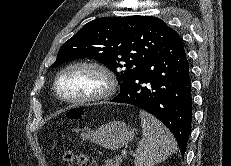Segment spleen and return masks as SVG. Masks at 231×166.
Masks as SVG:
<instances>
[{
    "label": "spleen",
    "mask_w": 231,
    "mask_h": 166,
    "mask_svg": "<svg viewBox=\"0 0 231 166\" xmlns=\"http://www.w3.org/2000/svg\"><path fill=\"white\" fill-rule=\"evenodd\" d=\"M143 139L134 154L135 166H154L177 152V142L172 133L154 116L139 112Z\"/></svg>",
    "instance_id": "spleen-1"
}]
</instances>
